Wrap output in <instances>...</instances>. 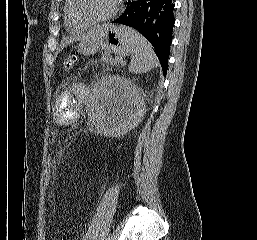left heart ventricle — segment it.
Masks as SVG:
<instances>
[{"label":"left heart ventricle","instance_id":"obj_1","mask_svg":"<svg viewBox=\"0 0 257 240\" xmlns=\"http://www.w3.org/2000/svg\"><path fill=\"white\" fill-rule=\"evenodd\" d=\"M116 0H83L84 10L92 16L101 17L114 8Z\"/></svg>","mask_w":257,"mask_h":240}]
</instances>
